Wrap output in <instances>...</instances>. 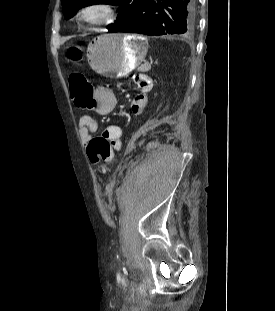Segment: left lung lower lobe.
Instances as JSON below:
<instances>
[{"mask_svg":"<svg viewBox=\"0 0 275 311\" xmlns=\"http://www.w3.org/2000/svg\"><path fill=\"white\" fill-rule=\"evenodd\" d=\"M196 0H143L136 17L110 32H130L151 36L190 34L195 28Z\"/></svg>","mask_w":275,"mask_h":311,"instance_id":"0a47b994","label":"left lung lower lobe"}]
</instances>
